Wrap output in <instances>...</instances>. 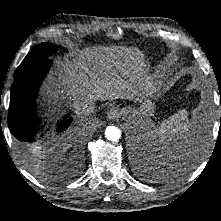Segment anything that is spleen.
Wrapping results in <instances>:
<instances>
[{
	"label": "spleen",
	"mask_w": 221,
	"mask_h": 221,
	"mask_svg": "<svg viewBox=\"0 0 221 221\" xmlns=\"http://www.w3.org/2000/svg\"><path fill=\"white\" fill-rule=\"evenodd\" d=\"M188 111L183 109L171 116L168 120L159 122L154 130L155 135L160 139L163 145L169 146L165 151L170 153L181 143H177L179 139H185L195 127L193 122H190L187 115Z\"/></svg>",
	"instance_id": "spleen-1"
}]
</instances>
